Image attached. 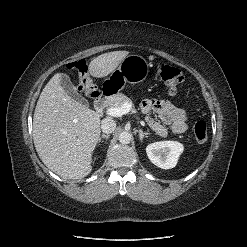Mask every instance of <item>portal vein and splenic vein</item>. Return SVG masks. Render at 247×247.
<instances>
[{"label": "portal vein and splenic vein", "mask_w": 247, "mask_h": 247, "mask_svg": "<svg viewBox=\"0 0 247 247\" xmlns=\"http://www.w3.org/2000/svg\"><path fill=\"white\" fill-rule=\"evenodd\" d=\"M129 112L136 113V111L132 108V104L128 102L124 103L120 107H110L106 111L108 115L113 117H121Z\"/></svg>", "instance_id": "obj_1"}]
</instances>
